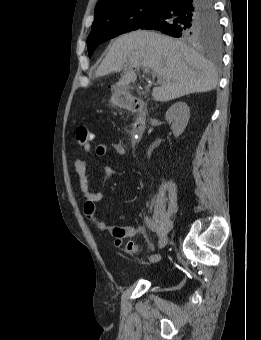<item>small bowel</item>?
<instances>
[{
  "label": "small bowel",
  "instance_id": "small-bowel-1",
  "mask_svg": "<svg viewBox=\"0 0 261 340\" xmlns=\"http://www.w3.org/2000/svg\"><path fill=\"white\" fill-rule=\"evenodd\" d=\"M94 140L95 138L82 145L85 153L91 154L93 152L92 142ZM109 146L118 156H124L126 154V147L120 141L113 142L110 145L106 143H99L95 148V153L97 156L103 157L107 153ZM74 169L78 176L80 191L84 197L83 213L90 222H92L99 230L110 233L114 238H119L121 240L125 238L144 236L145 230L143 227L121 226L99 220L97 218V203L103 199L104 192H95L90 189L89 179L87 176V163L84 159H75ZM102 170L104 174L103 183L106 185L116 172L108 164L103 165Z\"/></svg>",
  "mask_w": 261,
  "mask_h": 340
}]
</instances>
